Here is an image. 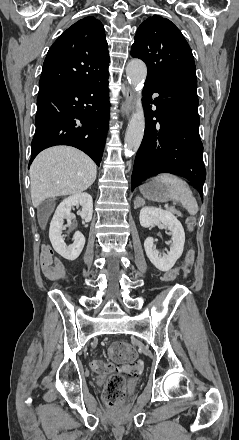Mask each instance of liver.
Here are the masks:
<instances>
[{
  "mask_svg": "<svg viewBox=\"0 0 239 440\" xmlns=\"http://www.w3.org/2000/svg\"><path fill=\"white\" fill-rule=\"evenodd\" d=\"M31 200L38 208L46 198L81 194L92 186L97 166L70 146H54L38 154L30 168Z\"/></svg>",
  "mask_w": 239,
  "mask_h": 440,
  "instance_id": "liver-1",
  "label": "liver"
}]
</instances>
